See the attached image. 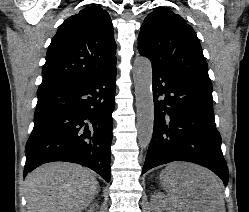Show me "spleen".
Segmentation results:
<instances>
[{
  "label": "spleen",
  "mask_w": 249,
  "mask_h": 212,
  "mask_svg": "<svg viewBox=\"0 0 249 212\" xmlns=\"http://www.w3.org/2000/svg\"><path fill=\"white\" fill-rule=\"evenodd\" d=\"M164 174H166V176H164ZM170 168H165L164 172H162L161 176H160V180H161V184H163L165 190H167V192H169V196H173V190L171 188V186H169V178H170Z\"/></svg>",
  "instance_id": "obj_1"
}]
</instances>
